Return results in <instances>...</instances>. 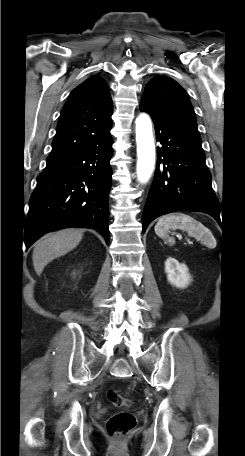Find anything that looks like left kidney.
Masks as SVG:
<instances>
[{"mask_svg":"<svg viewBox=\"0 0 245 456\" xmlns=\"http://www.w3.org/2000/svg\"><path fill=\"white\" fill-rule=\"evenodd\" d=\"M165 272L168 281L177 288L183 289L190 283L187 266L172 257H169L165 262Z\"/></svg>","mask_w":245,"mask_h":456,"instance_id":"1","label":"left kidney"}]
</instances>
